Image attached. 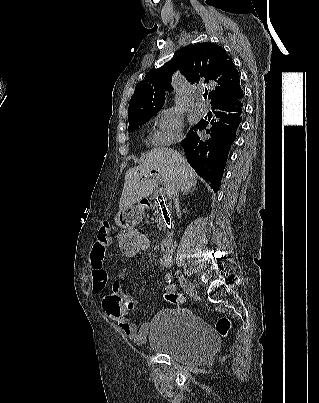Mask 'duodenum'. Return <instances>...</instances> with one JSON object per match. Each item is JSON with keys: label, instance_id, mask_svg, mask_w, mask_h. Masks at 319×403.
I'll return each mask as SVG.
<instances>
[{"label": "duodenum", "instance_id": "obj_1", "mask_svg": "<svg viewBox=\"0 0 319 403\" xmlns=\"http://www.w3.org/2000/svg\"><path fill=\"white\" fill-rule=\"evenodd\" d=\"M144 208L166 207V202L162 196H158L153 202L148 200L144 201ZM162 249L166 253H170L175 249V239L171 233L167 234L162 240Z\"/></svg>", "mask_w": 319, "mask_h": 403}]
</instances>
